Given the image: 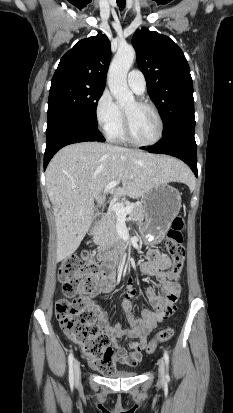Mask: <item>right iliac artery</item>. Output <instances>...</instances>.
<instances>
[{
    "label": "right iliac artery",
    "mask_w": 233,
    "mask_h": 413,
    "mask_svg": "<svg viewBox=\"0 0 233 413\" xmlns=\"http://www.w3.org/2000/svg\"><path fill=\"white\" fill-rule=\"evenodd\" d=\"M73 353L70 352L68 356V364H69V383L71 386L74 384V373H73Z\"/></svg>",
    "instance_id": "1"
}]
</instances>
